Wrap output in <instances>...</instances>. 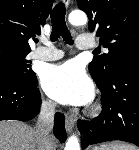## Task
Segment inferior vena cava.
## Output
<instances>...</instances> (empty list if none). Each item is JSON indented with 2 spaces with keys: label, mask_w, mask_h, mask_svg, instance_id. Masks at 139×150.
<instances>
[{
  "label": "inferior vena cava",
  "mask_w": 139,
  "mask_h": 150,
  "mask_svg": "<svg viewBox=\"0 0 139 150\" xmlns=\"http://www.w3.org/2000/svg\"><path fill=\"white\" fill-rule=\"evenodd\" d=\"M54 114V104L51 102H43L35 127L39 150H53V141L50 133L54 125Z\"/></svg>",
  "instance_id": "inferior-vena-cava-1"
}]
</instances>
